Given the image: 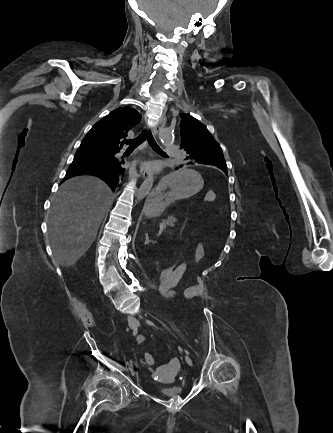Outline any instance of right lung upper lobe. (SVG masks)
<instances>
[{"label":"right lung upper lobe","instance_id":"1","mask_svg":"<svg viewBox=\"0 0 333 433\" xmlns=\"http://www.w3.org/2000/svg\"><path fill=\"white\" fill-rule=\"evenodd\" d=\"M139 113L130 107H120L98 121L83 139L94 148L117 153L128 131L140 121Z\"/></svg>","mask_w":333,"mask_h":433}]
</instances>
